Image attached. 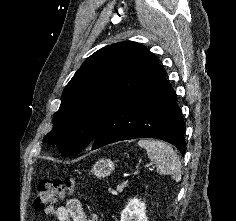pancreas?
Instances as JSON below:
<instances>
[{
  "instance_id": "pancreas-1",
  "label": "pancreas",
  "mask_w": 236,
  "mask_h": 221,
  "mask_svg": "<svg viewBox=\"0 0 236 221\" xmlns=\"http://www.w3.org/2000/svg\"><path fill=\"white\" fill-rule=\"evenodd\" d=\"M123 188H124V187L117 186L116 190H114V189H109L108 191H109V193H111V194H113V195H117L118 192H122V191H123Z\"/></svg>"
}]
</instances>
